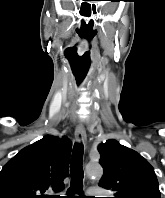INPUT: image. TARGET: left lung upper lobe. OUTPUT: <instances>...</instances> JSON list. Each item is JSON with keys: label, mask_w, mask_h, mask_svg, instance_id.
Instances as JSON below:
<instances>
[{"label": "left lung upper lobe", "mask_w": 165, "mask_h": 198, "mask_svg": "<svg viewBox=\"0 0 165 198\" xmlns=\"http://www.w3.org/2000/svg\"><path fill=\"white\" fill-rule=\"evenodd\" d=\"M98 151L104 169L99 186L113 191V198H161L154 169L139 153L114 139Z\"/></svg>", "instance_id": "5c2ea615"}]
</instances>
